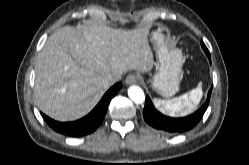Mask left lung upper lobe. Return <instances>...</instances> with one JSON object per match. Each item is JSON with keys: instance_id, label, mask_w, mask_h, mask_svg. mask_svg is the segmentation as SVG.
Instances as JSON below:
<instances>
[{"instance_id": "obj_1", "label": "left lung upper lobe", "mask_w": 249, "mask_h": 165, "mask_svg": "<svg viewBox=\"0 0 249 165\" xmlns=\"http://www.w3.org/2000/svg\"><path fill=\"white\" fill-rule=\"evenodd\" d=\"M201 46H202L203 50L205 51V53L207 54L208 58H210V53H209L207 47L205 46V44L203 43V41H201Z\"/></svg>"}]
</instances>
